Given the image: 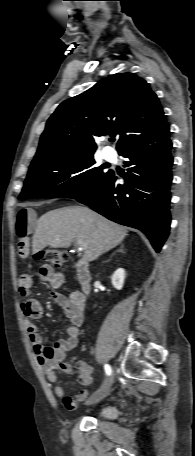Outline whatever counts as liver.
<instances>
[{
    "mask_svg": "<svg viewBox=\"0 0 195 456\" xmlns=\"http://www.w3.org/2000/svg\"><path fill=\"white\" fill-rule=\"evenodd\" d=\"M127 236V229L94 211L81 206L55 209L42 215L32 240V253L47 246L69 248L75 240L86 245L83 259L96 260L116 247Z\"/></svg>",
    "mask_w": 195,
    "mask_h": 456,
    "instance_id": "6515ba94",
    "label": "liver"
}]
</instances>
